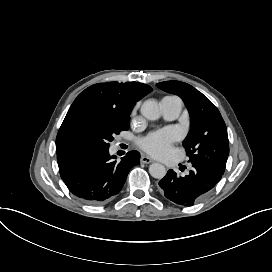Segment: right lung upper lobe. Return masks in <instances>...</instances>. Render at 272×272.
<instances>
[{
	"mask_svg": "<svg viewBox=\"0 0 272 272\" xmlns=\"http://www.w3.org/2000/svg\"><path fill=\"white\" fill-rule=\"evenodd\" d=\"M151 91L149 85L138 82L94 84L74 100L58 133L60 134L74 117L84 110L107 113L121 121H130L129 116L135 103Z\"/></svg>",
	"mask_w": 272,
	"mask_h": 272,
	"instance_id": "right-lung-upper-lobe-1",
	"label": "right lung upper lobe"
}]
</instances>
